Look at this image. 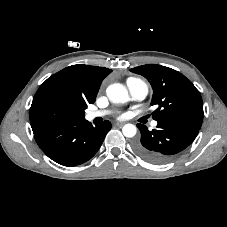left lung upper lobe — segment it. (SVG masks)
Wrapping results in <instances>:
<instances>
[{
    "label": "left lung upper lobe",
    "mask_w": 227,
    "mask_h": 227,
    "mask_svg": "<svg viewBox=\"0 0 227 227\" xmlns=\"http://www.w3.org/2000/svg\"><path fill=\"white\" fill-rule=\"evenodd\" d=\"M151 84V105H156L153 119L157 122H180L201 128L203 103L200 92L180 72L157 64L130 69Z\"/></svg>",
    "instance_id": "1"
}]
</instances>
